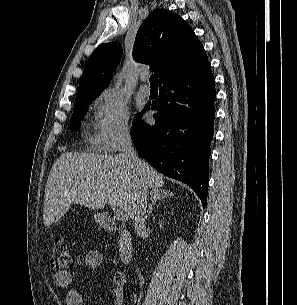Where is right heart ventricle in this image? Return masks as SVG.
<instances>
[{
  "label": "right heart ventricle",
  "mask_w": 297,
  "mask_h": 305,
  "mask_svg": "<svg viewBox=\"0 0 297 305\" xmlns=\"http://www.w3.org/2000/svg\"><path fill=\"white\" fill-rule=\"evenodd\" d=\"M84 139L91 149H98L99 147H101V140L98 135V132H94L93 130H91L90 126L89 130L85 134Z\"/></svg>",
  "instance_id": "obj_1"
}]
</instances>
